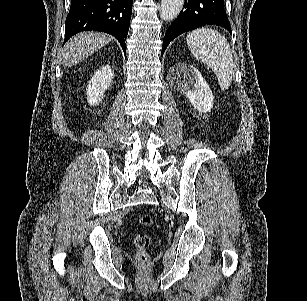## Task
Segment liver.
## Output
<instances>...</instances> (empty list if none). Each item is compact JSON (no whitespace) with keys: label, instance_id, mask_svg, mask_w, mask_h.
<instances>
[{"label":"liver","instance_id":"liver-1","mask_svg":"<svg viewBox=\"0 0 307 301\" xmlns=\"http://www.w3.org/2000/svg\"><path fill=\"white\" fill-rule=\"evenodd\" d=\"M111 40H113V36L105 34V32H78L75 36H71L61 50L64 68L82 62L84 58H88L98 48H102Z\"/></svg>","mask_w":307,"mask_h":301}]
</instances>
